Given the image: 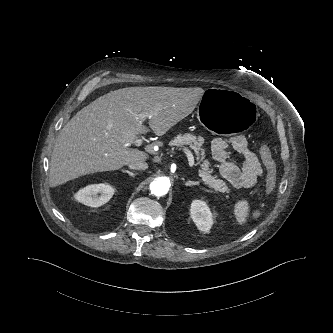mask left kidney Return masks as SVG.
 I'll use <instances>...</instances> for the list:
<instances>
[{"label":"left kidney","instance_id":"left-kidney-1","mask_svg":"<svg viewBox=\"0 0 333 333\" xmlns=\"http://www.w3.org/2000/svg\"><path fill=\"white\" fill-rule=\"evenodd\" d=\"M190 216L200 231L204 233L210 231L213 224V218L206 202L202 200H194L191 203Z\"/></svg>","mask_w":333,"mask_h":333}]
</instances>
